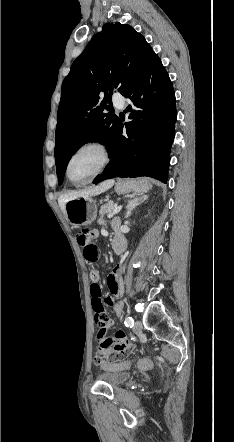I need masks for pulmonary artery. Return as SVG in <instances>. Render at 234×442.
Masks as SVG:
<instances>
[{"label":"pulmonary artery","instance_id":"1","mask_svg":"<svg viewBox=\"0 0 234 442\" xmlns=\"http://www.w3.org/2000/svg\"><path fill=\"white\" fill-rule=\"evenodd\" d=\"M113 103L119 109H123L124 105H125V100H124V98L122 96L116 95V96L113 97Z\"/></svg>","mask_w":234,"mask_h":442}]
</instances>
